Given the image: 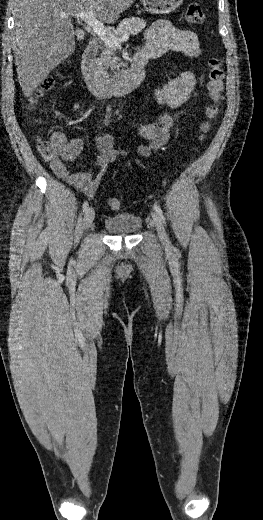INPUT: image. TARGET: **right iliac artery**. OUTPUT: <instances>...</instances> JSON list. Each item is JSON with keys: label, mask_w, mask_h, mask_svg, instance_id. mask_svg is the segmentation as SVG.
<instances>
[{"label": "right iliac artery", "mask_w": 263, "mask_h": 520, "mask_svg": "<svg viewBox=\"0 0 263 520\" xmlns=\"http://www.w3.org/2000/svg\"><path fill=\"white\" fill-rule=\"evenodd\" d=\"M88 206H89V205H88V202L85 201V202L83 203V206H82V207H83V212H85V211L88 209Z\"/></svg>", "instance_id": "obj_1"}]
</instances>
